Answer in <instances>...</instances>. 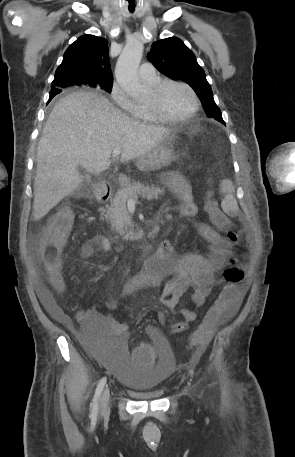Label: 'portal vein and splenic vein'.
<instances>
[{
	"mask_svg": "<svg viewBox=\"0 0 295 457\" xmlns=\"http://www.w3.org/2000/svg\"><path fill=\"white\" fill-rule=\"evenodd\" d=\"M121 151H122V150H121L120 147L114 148L113 153H112L113 157H118V156L120 155ZM128 202H134V199L129 198V199H128Z\"/></svg>",
	"mask_w": 295,
	"mask_h": 457,
	"instance_id": "18ae733b",
	"label": "portal vein and splenic vein"
}]
</instances>
